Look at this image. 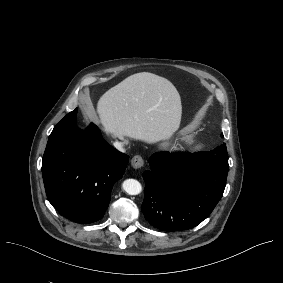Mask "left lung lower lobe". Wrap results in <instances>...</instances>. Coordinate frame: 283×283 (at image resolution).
Masks as SVG:
<instances>
[{"instance_id": "left-lung-lower-lobe-1", "label": "left lung lower lobe", "mask_w": 283, "mask_h": 283, "mask_svg": "<svg viewBox=\"0 0 283 283\" xmlns=\"http://www.w3.org/2000/svg\"><path fill=\"white\" fill-rule=\"evenodd\" d=\"M143 173L146 183L141 210L145 219L164 231L195 227L221 199L228 174V153L222 143L209 152H157Z\"/></svg>"}]
</instances>
